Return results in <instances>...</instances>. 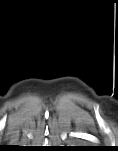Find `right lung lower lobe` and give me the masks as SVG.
I'll list each match as a JSON object with an SVG mask.
<instances>
[{"mask_svg": "<svg viewBox=\"0 0 118 151\" xmlns=\"http://www.w3.org/2000/svg\"><path fill=\"white\" fill-rule=\"evenodd\" d=\"M20 148H21V147L10 146V147H6V149H4V150H7V151L21 150Z\"/></svg>", "mask_w": 118, "mask_h": 151, "instance_id": "obj_1", "label": "right lung lower lobe"}]
</instances>
